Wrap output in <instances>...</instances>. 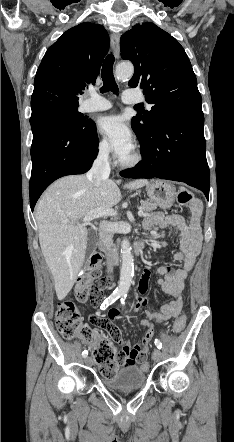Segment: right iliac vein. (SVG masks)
<instances>
[{
    "label": "right iliac vein",
    "mask_w": 234,
    "mask_h": 442,
    "mask_svg": "<svg viewBox=\"0 0 234 442\" xmlns=\"http://www.w3.org/2000/svg\"><path fill=\"white\" fill-rule=\"evenodd\" d=\"M85 363L87 364V365H92V359L90 358V357H86L85 358Z\"/></svg>",
    "instance_id": "1"
}]
</instances>
